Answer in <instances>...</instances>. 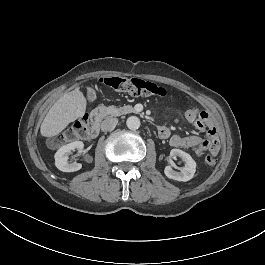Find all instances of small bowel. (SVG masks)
<instances>
[{"instance_id": "c3829d8e", "label": "small bowel", "mask_w": 265, "mask_h": 265, "mask_svg": "<svg viewBox=\"0 0 265 265\" xmlns=\"http://www.w3.org/2000/svg\"><path fill=\"white\" fill-rule=\"evenodd\" d=\"M206 112H201L198 108L193 107L186 112V118L189 122L194 123L195 127L201 131L207 129L209 139H202L201 137L180 136L171 134L169 128L161 126L158 129V134L161 139H168L169 145L173 148H187L192 149L196 156L202 157L206 151L214 152L217 154L219 150V142L217 131L214 123L208 113V119L203 121L201 116Z\"/></svg>"}]
</instances>
